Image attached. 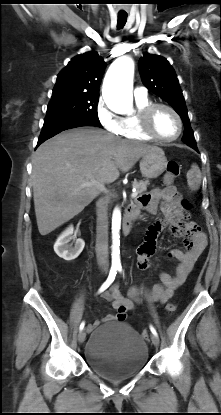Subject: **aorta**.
I'll use <instances>...</instances> for the list:
<instances>
[{
	"label": "aorta",
	"instance_id": "1",
	"mask_svg": "<svg viewBox=\"0 0 221 415\" xmlns=\"http://www.w3.org/2000/svg\"><path fill=\"white\" fill-rule=\"evenodd\" d=\"M134 61L129 56L118 58L108 69L103 82L102 95L106 105L117 113H126L133 106ZM121 211L115 208L112 215V263L119 265Z\"/></svg>",
	"mask_w": 221,
	"mask_h": 415
}]
</instances>
